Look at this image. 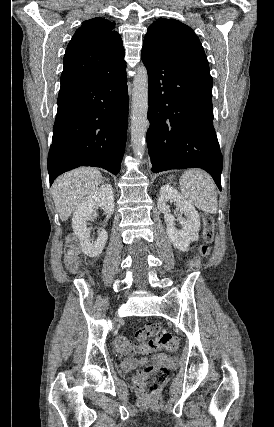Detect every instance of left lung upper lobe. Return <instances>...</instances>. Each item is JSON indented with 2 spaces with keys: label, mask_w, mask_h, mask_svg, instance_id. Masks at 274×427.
<instances>
[{
  "label": "left lung upper lobe",
  "mask_w": 274,
  "mask_h": 427,
  "mask_svg": "<svg viewBox=\"0 0 274 427\" xmlns=\"http://www.w3.org/2000/svg\"><path fill=\"white\" fill-rule=\"evenodd\" d=\"M143 44L157 49L176 64L210 75L202 44L187 25L175 19L159 18L147 29Z\"/></svg>",
  "instance_id": "1"
}]
</instances>
